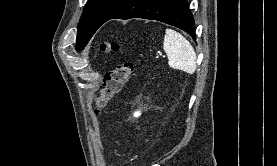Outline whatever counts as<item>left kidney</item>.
<instances>
[{"label":"left kidney","instance_id":"5707ae66","mask_svg":"<svg viewBox=\"0 0 277 166\" xmlns=\"http://www.w3.org/2000/svg\"><path fill=\"white\" fill-rule=\"evenodd\" d=\"M140 114H141V113L138 111V112H135V113H134V116H135V117H138V116H140Z\"/></svg>","mask_w":277,"mask_h":166}]
</instances>
